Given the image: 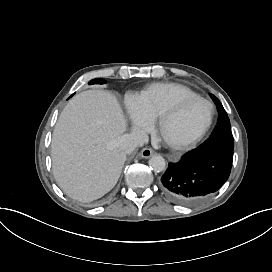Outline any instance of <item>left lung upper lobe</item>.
<instances>
[{
  "instance_id": "1",
  "label": "left lung upper lobe",
  "mask_w": 272,
  "mask_h": 272,
  "mask_svg": "<svg viewBox=\"0 0 272 272\" xmlns=\"http://www.w3.org/2000/svg\"><path fill=\"white\" fill-rule=\"evenodd\" d=\"M211 98L216 104L219 113L218 125L212 136L204 144H202L200 148L219 147L233 150L234 140L230 129V121L228 115L219 99L214 95H211Z\"/></svg>"
}]
</instances>
